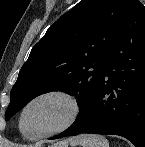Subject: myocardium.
Wrapping results in <instances>:
<instances>
[{"label":"myocardium","mask_w":145,"mask_h":147,"mask_svg":"<svg viewBox=\"0 0 145 147\" xmlns=\"http://www.w3.org/2000/svg\"><path fill=\"white\" fill-rule=\"evenodd\" d=\"M50 98H58L65 101L68 104L70 112L67 119L60 126L51 130H47L39 133L27 132L24 127V119L29 108L39 101ZM80 113H81V104L78 98L74 94L63 89H51L34 95L23 105L18 117V127L23 136L30 139H41L59 134L69 129L78 120Z\"/></svg>","instance_id":"myocardium-1"}]
</instances>
